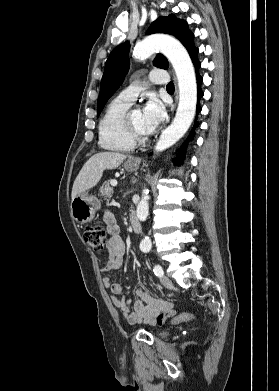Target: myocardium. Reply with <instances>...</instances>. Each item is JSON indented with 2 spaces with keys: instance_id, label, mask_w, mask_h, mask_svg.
Listing matches in <instances>:
<instances>
[{
  "instance_id": "myocardium-1",
  "label": "myocardium",
  "mask_w": 279,
  "mask_h": 391,
  "mask_svg": "<svg viewBox=\"0 0 279 391\" xmlns=\"http://www.w3.org/2000/svg\"><path fill=\"white\" fill-rule=\"evenodd\" d=\"M134 109H128V111L124 115V125L127 132L128 137L130 140L136 145V144H144L146 143L150 136L149 134H141L136 127L134 126L133 120H132V112Z\"/></svg>"
}]
</instances>
